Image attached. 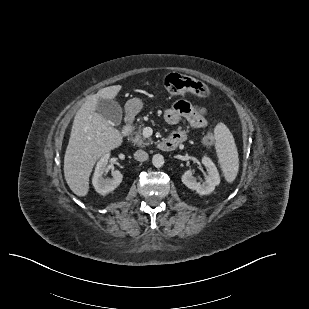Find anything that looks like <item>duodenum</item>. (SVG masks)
Instances as JSON below:
<instances>
[{"instance_id": "1", "label": "duodenum", "mask_w": 309, "mask_h": 309, "mask_svg": "<svg viewBox=\"0 0 309 309\" xmlns=\"http://www.w3.org/2000/svg\"><path fill=\"white\" fill-rule=\"evenodd\" d=\"M132 128V118L130 116H127L124 121V125L121 129L122 136L126 137L130 134ZM180 143V140L177 138H165L162 141L159 142L158 147L162 151H171L177 147V145Z\"/></svg>"}]
</instances>
